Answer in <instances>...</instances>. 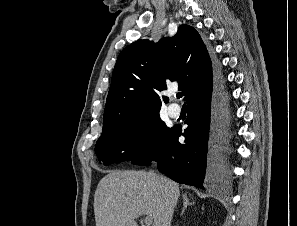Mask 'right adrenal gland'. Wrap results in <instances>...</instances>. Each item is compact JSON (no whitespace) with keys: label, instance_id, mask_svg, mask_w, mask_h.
Here are the masks:
<instances>
[{"label":"right adrenal gland","instance_id":"right-adrenal-gland-1","mask_svg":"<svg viewBox=\"0 0 297 226\" xmlns=\"http://www.w3.org/2000/svg\"><path fill=\"white\" fill-rule=\"evenodd\" d=\"M183 209H182V212H181V215L184 213V211L186 210V208L190 205H194L195 202H190L189 201V198L187 197V194H183Z\"/></svg>","mask_w":297,"mask_h":226}]
</instances>
